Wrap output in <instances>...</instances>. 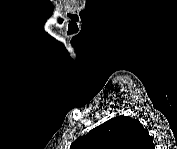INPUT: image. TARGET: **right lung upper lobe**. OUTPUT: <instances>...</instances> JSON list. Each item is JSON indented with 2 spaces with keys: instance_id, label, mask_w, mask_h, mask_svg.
<instances>
[{
  "instance_id": "obj_1",
  "label": "right lung upper lobe",
  "mask_w": 177,
  "mask_h": 149,
  "mask_svg": "<svg viewBox=\"0 0 177 149\" xmlns=\"http://www.w3.org/2000/svg\"><path fill=\"white\" fill-rule=\"evenodd\" d=\"M148 135L138 120L121 115L79 137L70 149H148L152 146L143 142Z\"/></svg>"
}]
</instances>
